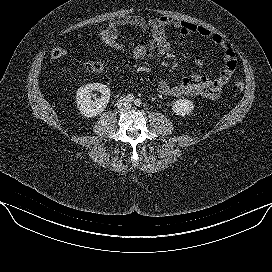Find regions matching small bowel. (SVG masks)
Returning <instances> with one entry per match:
<instances>
[{
    "label": "small bowel",
    "instance_id": "small-bowel-1",
    "mask_svg": "<svg viewBox=\"0 0 272 272\" xmlns=\"http://www.w3.org/2000/svg\"><path fill=\"white\" fill-rule=\"evenodd\" d=\"M124 27L136 28L149 37L146 43L135 46L132 56L136 60L154 59L169 54L171 51L167 38L169 28L178 30L182 36L199 35L211 41L222 51L223 67L215 77L201 71L205 62L202 57H197L195 59V65L199 69L197 73L174 83L166 80L158 83L157 91L164 96L215 99L235 72L237 57L233 46L223 36L205 27L166 16L146 20L138 15H125L111 21L106 30L120 35Z\"/></svg>",
    "mask_w": 272,
    "mask_h": 272
}]
</instances>
